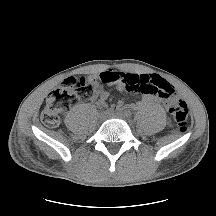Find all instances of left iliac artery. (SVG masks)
<instances>
[{
    "label": "left iliac artery",
    "instance_id": "1",
    "mask_svg": "<svg viewBox=\"0 0 216 216\" xmlns=\"http://www.w3.org/2000/svg\"><path fill=\"white\" fill-rule=\"evenodd\" d=\"M124 115H125L126 117H130V116H131V112H130L129 110H125V111H124Z\"/></svg>",
    "mask_w": 216,
    "mask_h": 216
}]
</instances>
